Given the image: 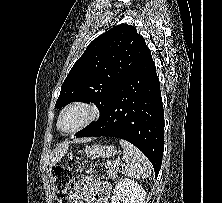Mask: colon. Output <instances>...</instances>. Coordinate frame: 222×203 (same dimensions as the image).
<instances>
[{"label": "colon", "mask_w": 222, "mask_h": 203, "mask_svg": "<svg viewBox=\"0 0 222 203\" xmlns=\"http://www.w3.org/2000/svg\"><path fill=\"white\" fill-rule=\"evenodd\" d=\"M72 169L66 165H60L53 170V185L58 203H73L72 199Z\"/></svg>", "instance_id": "colon-1"}]
</instances>
